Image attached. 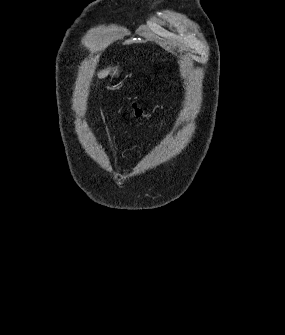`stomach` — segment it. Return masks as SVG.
<instances>
[{
    "label": "stomach",
    "mask_w": 285,
    "mask_h": 335,
    "mask_svg": "<svg viewBox=\"0 0 285 335\" xmlns=\"http://www.w3.org/2000/svg\"><path fill=\"white\" fill-rule=\"evenodd\" d=\"M119 72H120V70H119L118 66H116V68H114V70H112V74H111L112 78H118Z\"/></svg>",
    "instance_id": "1"
}]
</instances>
